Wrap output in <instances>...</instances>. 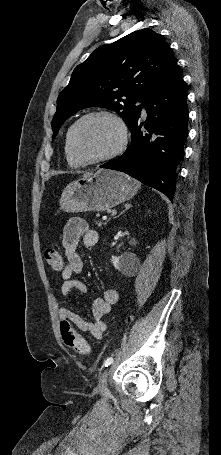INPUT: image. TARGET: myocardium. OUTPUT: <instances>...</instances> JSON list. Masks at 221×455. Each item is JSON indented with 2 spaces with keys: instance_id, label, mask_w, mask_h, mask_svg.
<instances>
[{
  "instance_id": "obj_1",
  "label": "myocardium",
  "mask_w": 221,
  "mask_h": 455,
  "mask_svg": "<svg viewBox=\"0 0 221 455\" xmlns=\"http://www.w3.org/2000/svg\"><path fill=\"white\" fill-rule=\"evenodd\" d=\"M96 117H104V118H108V119L112 120L118 127L120 140H119L118 145L113 150L108 152L107 154L102 155L100 157H96V158H86L79 152V150L77 148V144H76L77 130L84 121L91 119V118H96ZM128 140H129L128 128H127V125H126L125 121L123 120V118L119 114H117L113 111H110V110H106V109L95 110V111H91L89 113L84 114L83 116H81L79 119H77L75 121V123L72 125L71 131H70V148H71L74 156L83 164H97V163L108 161V160L118 156L125 150V148L128 144Z\"/></svg>"
}]
</instances>
